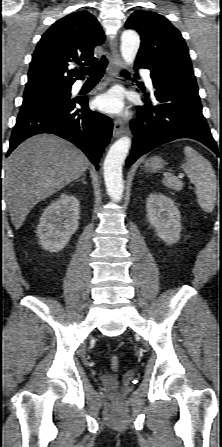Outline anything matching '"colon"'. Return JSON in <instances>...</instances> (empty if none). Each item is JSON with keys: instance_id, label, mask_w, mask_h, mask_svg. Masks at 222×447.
<instances>
[{"instance_id": "1", "label": "colon", "mask_w": 222, "mask_h": 447, "mask_svg": "<svg viewBox=\"0 0 222 447\" xmlns=\"http://www.w3.org/2000/svg\"><path fill=\"white\" fill-rule=\"evenodd\" d=\"M110 364L113 370H117L119 368L120 359L118 356H112L110 359Z\"/></svg>"}]
</instances>
